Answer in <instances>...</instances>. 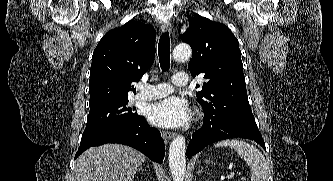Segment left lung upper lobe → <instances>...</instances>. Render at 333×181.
Returning <instances> with one entry per match:
<instances>
[{"mask_svg":"<svg viewBox=\"0 0 333 181\" xmlns=\"http://www.w3.org/2000/svg\"><path fill=\"white\" fill-rule=\"evenodd\" d=\"M180 38L193 51L188 64L192 76L204 74L207 80L203 90L196 93L204 111L227 113L257 127L246 93L238 40L230 29L197 16L190 20L189 28Z\"/></svg>","mask_w":333,"mask_h":181,"instance_id":"left-lung-upper-lobe-1","label":"left lung upper lobe"}]
</instances>
